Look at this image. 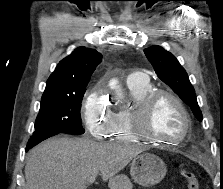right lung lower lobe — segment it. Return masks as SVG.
<instances>
[{
	"mask_svg": "<svg viewBox=\"0 0 223 189\" xmlns=\"http://www.w3.org/2000/svg\"><path fill=\"white\" fill-rule=\"evenodd\" d=\"M59 133H45V134H40V135H33L29 141H28V144H27V147H26V152L31 149L32 147H34L35 145H37L38 143H40L41 141L51 137V136H54V135H57Z\"/></svg>",
	"mask_w": 223,
	"mask_h": 189,
	"instance_id": "1",
	"label": "right lung lower lobe"
}]
</instances>
